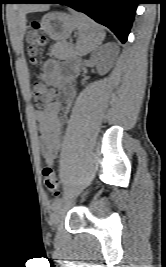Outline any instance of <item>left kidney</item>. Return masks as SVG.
I'll list each match as a JSON object with an SVG mask.
<instances>
[{
  "label": "left kidney",
  "instance_id": "1",
  "mask_svg": "<svg viewBox=\"0 0 166 267\" xmlns=\"http://www.w3.org/2000/svg\"><path fill=\"white\" fill-rule=\"evenodd\" d=\"M109 46H111V44L106 45V47ZM92 60L96 65V68L100 75H105L111 69L113 63V58L105 49H102L99 52L93 54Z\"/></svg>",
  "mask_w": 166,
  "mask_h": 267
}]
</instances>
